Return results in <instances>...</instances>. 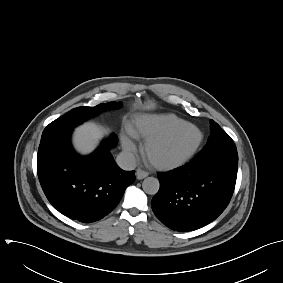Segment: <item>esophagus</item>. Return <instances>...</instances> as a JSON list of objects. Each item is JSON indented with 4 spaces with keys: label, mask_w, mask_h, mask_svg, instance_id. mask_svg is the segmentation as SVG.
<instances>
[{
    "label": "esophagus",
    "mask_w": 283,
    "mask_h": 283,
    "mask_svg": "<svg viewBox=\"0 0 283 283\" xmlns=\"http://www.w3.org/2000/svg\"><path fill=\"white\" fill-rule=\"evenodd\" d=\"M148 175H149V173L146 172V171H144V170H141V169H137V170H136V178H137L138 180L144 179V178H146Z\"/></svg>",
    "instance_id": "34e87169"
}]
</instances>
